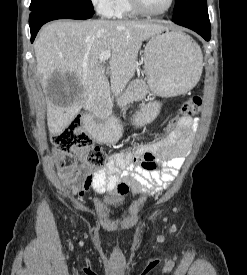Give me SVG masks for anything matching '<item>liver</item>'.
Returning a JSON list of instances; mask_svg holds the SVG:
<instances>
[{
	"mask_svg": "<svg viewBox=\"0 0 247 275\" xmlns=\"http://www.w3.org/2000/svg\"><path fill=\"white\" fill-rule=\"evenodd\" d=\"M166 30L153 21H69L46 25L34 43L37 74L46 91L47 80L59 72L72 74L80 91L65 101L47 99V124L51 135H58L83 108L91 110L110 97H116L135 74L136 57L142 42ZM111 51V86L99 61Z\"/></svg>",
	"mask_w": 247,
	"mask_h": 275,
	"instance_id": "1",
	"label": "liver"
}]
</instances>
